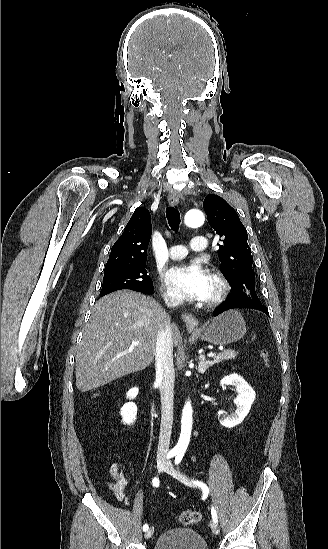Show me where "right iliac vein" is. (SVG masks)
Wrapping results in <instances>:
<instances>
[{"instance_id":"63e3f726","label":"right iliac vein","mask_w":328,"mask_h":549,"mask_svg":"<svg viewBox=\"0 0 328 549\" xmlns=\"http://www.w3.org/2000/svg\"><path fill=\"white\" fill-rule=\"evenodd\" d=\"M164 465H165L164 460H159L158 470L163 471ZM153 533H154V527H150L145 533V539H149L153 535Z\"/></svg>"}]
</instances>
